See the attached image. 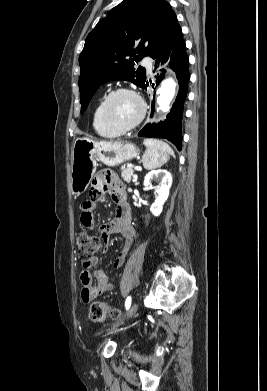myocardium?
Listing matches in <instances>:
<instances>
[{
	"mask_svg": "<svg viewBox=\"0 0 267 391\" xmlns=\"http://www.w3.org/2000/svg\"><path fill=\"white\" fill-rule=\"evenodd\" d=\"M121 93H128V94L132 95L138 101L139 106H140V111H139L137 118L135 119L134 122H132L130 125H127V126H120V125L115 124L114 122H112V120L110 119V117L108 115V104H109L110 100L115 95H118ZM146 110H147V107H146L145 101L136 90L129 88V87H118V88L111 90L102 100L101 117H102L103 122L110 129L117 131V132H120V133H126V132H129V131L135 129L142 122V120L145 117Z\"/></svg>",
	"mask_w": 267,
	"mask_h": 391,
	"instance_id": "1",
	"label": "myocardium"
}]
</instances>
